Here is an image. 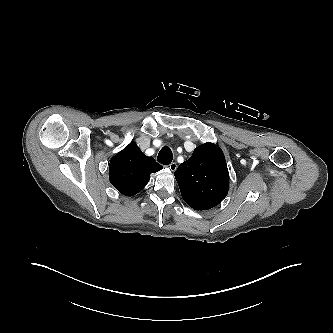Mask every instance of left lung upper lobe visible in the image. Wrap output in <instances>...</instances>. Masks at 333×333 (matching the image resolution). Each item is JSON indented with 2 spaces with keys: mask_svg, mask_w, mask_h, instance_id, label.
<instances>
[{
  "mask_svg": "<svg viewBox=\"0 0 333 333\" xmlns=\"http://www.w3.org/2000/svg\"><path fill=\"white\" fill-rule=\"evenodd\" d=\"M184 201L195 210H208L218 205L229 190V172L219 146H198L191 158L175 171Z\"/></svg>",
  "mask_w": 333,
  "mask_h": 333,
  "instance_id": "5c2ea615",
  "label": "left lung upper lobe"
}]
</instances>
